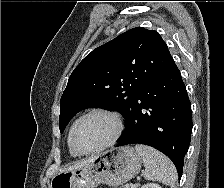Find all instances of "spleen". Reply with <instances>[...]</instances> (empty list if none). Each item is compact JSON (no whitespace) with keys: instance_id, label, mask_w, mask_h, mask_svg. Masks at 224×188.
I'll return each instance as SVG.
<instances>
[{"instance_id":"3e777b00","label":"spleen","mask_w":224,"mask_h":188,"mask_svg":"<svg viewBox=\"0 0 224 188\" xmlns=\"http://www.w3.org/2000/svg\"><path fill=\"white\" fill-rule=\"evenodd\" d=\"M135 149L143 159L145 166L144 178L156 180L174 188L178 175L172 161L156 149L146 145L137 144Z\"/></svg>"}]
</instances>
